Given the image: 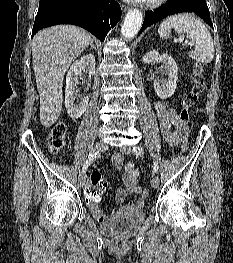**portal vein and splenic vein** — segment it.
Masks as SVG:
<instances>
[{"instance_id":"18ae733b","label":"portal vein and splenic vein","mask_w":233,"mask_h":263,"mask_svg":"<svg viewBox=\"0 0 233 263\" xmlns=\"http://www.w3.org/2000/svg\"><path fill=\"white\" fill-rule=\"evenodd\" d=\"M177 41L178 42H183L184 41V37H180Z\"/></svg>"}]
</instances>
